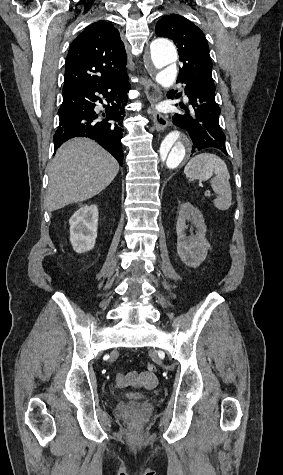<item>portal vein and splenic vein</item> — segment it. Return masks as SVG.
<instances>
[{
	"label": "portal vein and splenic vein",
	"mask_w": 283,
	"mask_h": 475,
	"mask_svg": "<svg viewBox=\"0 0 283 475\" xmlns=\"http://www.w3.org/2000/svg\"><path fill=\"white\" fill-rule=\"evenodd\" d=\"M203 193H204L203 196H204V198H206V199H209V198H212V199H213V198H215V196H216V195H215V194H216V191H215V190L210 191L209 189H206V190H204Z\"/></svg>",
	"instance_id": "portal-vein-and-splenic-vein-1"
}]
</instances>
